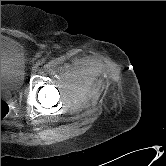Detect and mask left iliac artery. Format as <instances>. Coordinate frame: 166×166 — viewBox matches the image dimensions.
I'll return each mask as SVG.
<instances>
[{"label": "left iliac artery", "instance_id": "obj_1", "mask_svg": "<svg viewBox=\"0 0 166 166\" xmlns=\"http://www.w3.org/2000/svg\"><path fill=\"white\" fill-rule=\"evenodd\" d=\"M44 63H45V60H44V59H41V60L38 61V65H42V64H44Z\"/></svg>", "mask_w": 166, "mask_h": 166}]
</instances>
